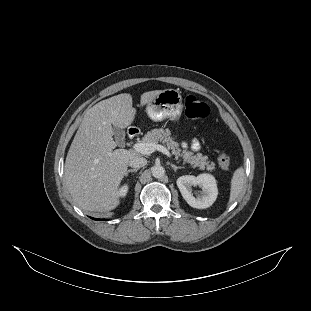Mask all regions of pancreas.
Listing matches in <instances>:
<instances>
[{
  "instance_id": "cf45deb5",
  "label": "pancreas",
  "mask_w": 311,
  "mask_h": 311,
  "mask_svg": "<svg viewBox=\"0 0 311 311\" xmlns=\"http://www.w3.org/2000/svg\"><path fill=\"white\" fill-rule=\"evenodd\" d=\"M141 143H155L161 142L165 144L168 149L172 151L176 158L182 157L183 163H189L193 168L198 167L200 170L212 171L215 169V163L208 160V156L201 153L194 154L191 151L182 150L177 141L171 137V131L166 128H155L148 131L140 140Z\"/></svg>"
}]
</instances>
